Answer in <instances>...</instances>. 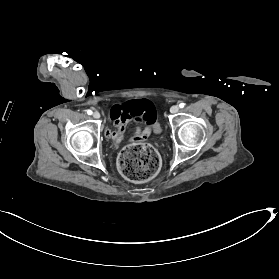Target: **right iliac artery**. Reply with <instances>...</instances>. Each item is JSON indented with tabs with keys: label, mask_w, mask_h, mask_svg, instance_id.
Listing matches in <instances>:
<instances>
[{
	"label": "right iliac artery",
	"mask_w": 279,
	"mask_h": 279,
	"mask_svg": "<svg viewBox=\"0 0 279 279\" xmlns=\"http://www.w3.org/2000/svg\"><path fill=\"white\" fill-rule=\"evenodd\" d=\"M87 114H88V115H92V111H91V110H88V111H87Z\"/></svg>",
	"instance_id": "1"
}]
</instances>
